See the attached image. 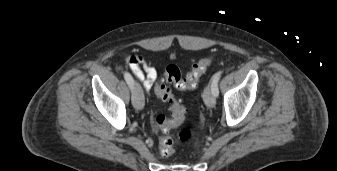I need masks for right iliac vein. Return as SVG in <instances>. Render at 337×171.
<instances>
[{
    "instance_id": "right-iliac-vein-1",
    "label": "right iliac vein",
    "mask_w": 337,
    "mask_h": 171,
    "mask_svg": "<svg viewBox=\"0 0 337 171\" xmlns=\"http://www.w3.org/2000/svg\"><path fill=\"white\" fill-rule=\"evenodd\" d=\"M132 104L133 106L138 109L142 110L144 108V95L143 90L139 83L135 82L132 89Z\"/></svg>"
}]
</instances>
